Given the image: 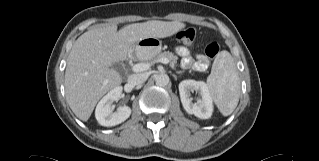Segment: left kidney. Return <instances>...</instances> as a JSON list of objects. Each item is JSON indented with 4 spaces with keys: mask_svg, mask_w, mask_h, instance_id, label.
<instances>
[{
    "mask_svg": "<svg viewBox=\"0 0 319 161\" xmlns=\"http://www.w3.org/2000/svg\"><path fill=\"white\" fill-rule=\"evenodd\" d=\"M196 91L200 97L197 103L192 102L191 92ZM179 93L183 108L188 114L201 119H208L213 112L212 98L207 85L203 81L183 80L179 84Z\"/></svg>",
    "mask_w": 319,
    "mask_h": 161,
    "instance_id": "left-kidney-1",
    "label": "left kidney"
}]
</instances>
